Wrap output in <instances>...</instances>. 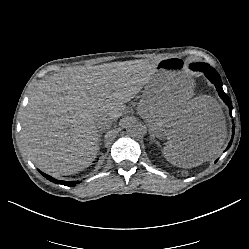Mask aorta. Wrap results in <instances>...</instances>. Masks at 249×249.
<instances>
[{"instance_id": "762f6f07", "label": "aorta", "mask_w": 249, "mask_h": 249, "mask_svg": "<svg viewBox=\"0 0 249 249\" xmlns=\"http://www.w3.org/2000/svg\"><path fill=\"white\" fill-rule=\"evenodd\" d=\"M126 131L130 136H140L143 133V125L137 120H130L126 124Z\"/></svg>"}]
</instances>
